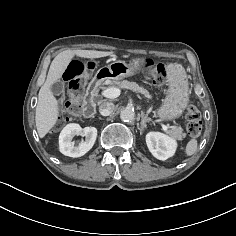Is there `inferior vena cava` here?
I'll use <instances>...</instances> for the list:
<instances>
[{"label": "inferior vena cava", "mask_w": 236, "mask_h": 236, "mask_svg": "<svg viewBox=\"0 0 236 236\" xmlns=\"http://www.w3.org/2000/svg\"><path fill=\"white\" fill-rule=\"evenodd\" d=\"M113 109H114V105L109 102L102 103L99 106V112L102 116H109L110 114H112Z\"/></svg>", "instance_id": "obj_1"}]
</instances>
